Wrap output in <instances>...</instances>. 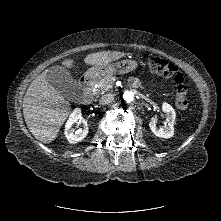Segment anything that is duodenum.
Returning <instances> with one entry per match:
<instances>
[{"mask_svg": "<svg viewBox=\"0 0 221 221\" xmlns=\"http://www.w3.org/2000/svg\"><path fill=\"white\" fill-rule=\"evenodd\" d=\"M92 78L88 75H84L79 80V86L82 91V102L87 104L92 100L91 88H92Z\"/></svg>", "mask_w": 221, "mask_h": 221, "instance_id": "duodenum-1", "label": "duodenum"}]
</instances>
